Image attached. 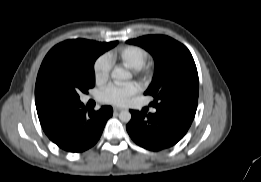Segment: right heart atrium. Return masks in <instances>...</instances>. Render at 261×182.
I'll return each mask as SVG.
<instances>
[{
	"mask_svg": "<svg viewBox=\"0 0 261 182\" xmlns=\"http://www.w3.org/2000/svg\"><path fill=\"white\" fill-rule=\"evenodd\" d=\"M111 68L112 64L108 55L98 57L93 67L95 81L99 84L105 82L109 78Z\"/></svg>",
	"mask_w": 261,
	"mask_h": 182,
	"instance_id": "right-heart-atrium-1",
	"label": "right heart atrium"
}]
</instances>
